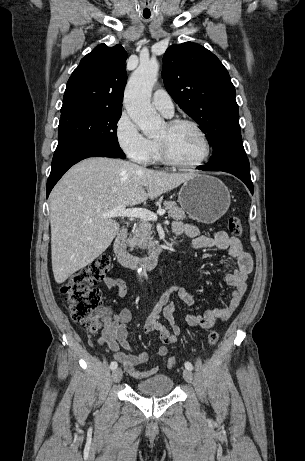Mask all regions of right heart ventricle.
Returning a JSON list of instances; mask_svg holds the SVG:
<instances>
[{"label":"right heart ventricle","mask_w":305,"mask_h":461,"mask_svg":"<svg viewBox=\"0 0 305 461\" xmlns=\"http://www.w3.org/2000/svg\"><path fill=\"white\" fill-rule=\"evenodd\" d=\"M152 150H151V157L149 162H164L161 152H160V147L158 144L157 140H152Z\"/></svg>","instance_id":"1"}]
</instances>
